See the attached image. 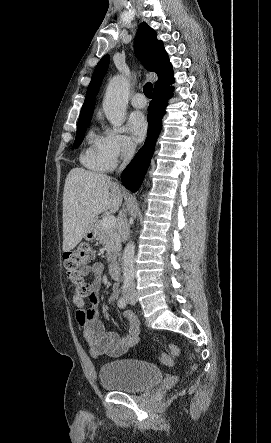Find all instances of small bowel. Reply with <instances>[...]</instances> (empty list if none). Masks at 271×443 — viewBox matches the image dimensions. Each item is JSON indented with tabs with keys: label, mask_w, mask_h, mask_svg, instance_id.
<instances>
[{
	"label": "small bowel",
	"mask_w": 271,
	"mask_h": 443,
	"mask_svg": "<svg viewBox=\"0 0 271 443\" xmlns=\"http://www.w3.org/2000/svg\"><path fill=\"white\" fill-rule=\"evenodd\" d=\"M81 274L83 277L92 276V294L89 297L91 306L85 309L84 299L76 295L75 292L73 302L78 307L77 322L83 329V336L91 354L95 357L101 355L119 357L125 354L139 340L140 330L137 318L131 312L124 313L128 325V331L124 336H119L113 332H105L96 308L98 293L103 283V266L100 263L84 266L81 269ZM118 294L119 289L114 287L110 294V301L116 300Z\"/></svg>",
	"instance_id": "c3829d8e"
}]
</instances>
